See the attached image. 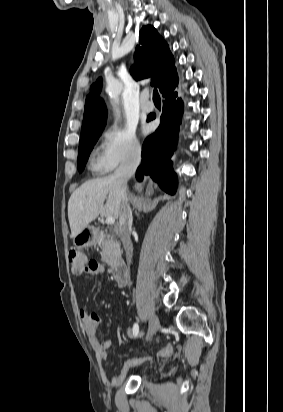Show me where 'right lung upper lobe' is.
I'll use <instances>...</instances> for the list:
<instances>
[{"label": "right lung upper lobe", "mask_w": 283, "mask_h": 412, "mask_svg": "<svg viewBox=\"0 0 283 412\" xmlns=\"http://www.w3.org/2000/svg\"><path fill=\"white\" fill-rule=\"evenodd\" d=\"M139 42L135 52V65L131 73L136 80L152 77L151 84L162 92L168 85L178 82L174 66V57L166 41L153 26H144L139 33ZM101 80L91 87V95L86 97L81 137L102 132L107 119V109L102 98L98 96ZM80 137V138H81Z\"/></svg>", "instance_id": "right-lung-upper-lobe-1"}]
</instances>
